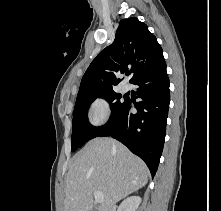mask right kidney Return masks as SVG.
<instances>
[{"label":"right kidney","instance_id":"obj_1","mask_svg":"<svg viewBox=\"0 0 221 211\" xmlns=\"http://www.w3.org/2000/svg\"><path fill=\"white\" fill-rule=\"evenodd\" d=\"M141 201L139 196H130L120 204L117 211H136Z\"/></svg>","mask_w":221,"mask_h":211}]
</instances>
